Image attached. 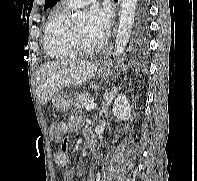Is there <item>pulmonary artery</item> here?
<instances>
[{"label":"pulmonary artery","instance_id":"obj_1","mask_svg":"<svg viewBox=\"0 0 197 181\" xmlns=\"http://www.w3.org/2000/svg\"><path fill=\"white\" fill-rule=\"evenodd\" d=\"M93 1L94 0H66L65 6L71 10L85 6Z\"/></svg>","mask_w":197,"mask_h":181}]
</instances>
